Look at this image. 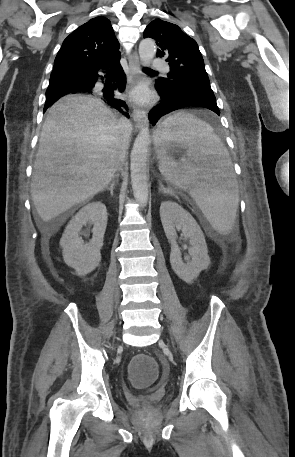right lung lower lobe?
Instances as JSON below:
<instances>
[{"instance_id": "98d812e1", "label": "right lung lower lobe", "mask_w": 295, "mask_h": 457, "mask_svg": "<svg viewBox=\"0 0 295 457\" xmlns=\"http://www.w3.org/2000/svg\"><path fill=\"white\" fill-rule=\"evenodd\" d=\"M120 54L115 55L101 64L82 72L51 74L50 83L46 91V103L44 111L56 100L70 93H87L102 98L108 105L116 108L127 117L128 113L125 101L116 97V92H123L125 89V74L119 62ZM105 72L106 75H99ZM111 79L106 82L103 88L95 86L98 79ZM50 93V94H48Z\"/></svg>"}]
</instances>
